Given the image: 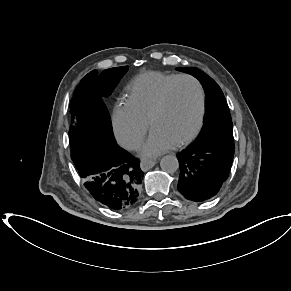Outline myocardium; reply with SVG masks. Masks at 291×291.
<instances>
[{"mask_svg":"<svg viewBox=\"0 0 291 291\" xmlns=\"http://www.w3.org/2000/svg\"><path fill=\"white\" fill-rule=\"evenodd\" d=\"M182 80H190L193 83H195V85L197 86L198 91H199V96H200V110H199L198 121L195 128L192 130V132L188 136H186L185 138H183L182 140H180L179 142L175 144L176 148L185 146L189 144L191 141H193L197 137L199 132L201 131L202 126L204 124V119H205V114H206V94L201 82L196 77L192 75H188V74L178 75L177 77H175L161 92L158 102L156 106L154 107V109L152 110L149 116V120H148L149 126L150 128H152L155 119L163 112V110L165 109L167 105L169 93L171 92L173 87Z\"/></svg>","mask_w":291,"mask_h":291,"instance_id":"f54148a6","label":"myocardium"}]
</instances>
